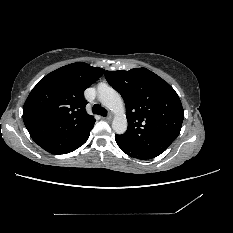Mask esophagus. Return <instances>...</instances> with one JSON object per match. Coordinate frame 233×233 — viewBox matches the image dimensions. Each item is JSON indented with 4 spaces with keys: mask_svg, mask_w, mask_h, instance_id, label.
Segmentation results:
<instances>
[{
    "mask_svg": "<svg viewBox=\"0 0 233 233\" xmlns=\"http://www.w3.org/2000/svg\"><path fill=\"white\" fill-rule=\"evenodd\" d=\"M113 118V114L110 113L107 117H105L106 120L110 121Z\"/></svg>",
    "mask_w": 233,
    "mask_h": 233,
    "instance_id": "esophagus-1",
    "label": "esophagus"
}]
</instances>
